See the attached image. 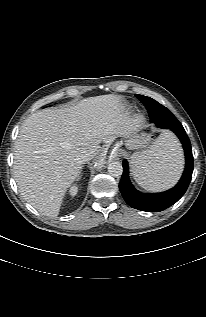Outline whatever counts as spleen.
<instances>
[{
  "label": "spleen",
  "mask_w": 206,
  "mask_h": 317,
  "mask_svg": "<svg viewBox=\"0 0 206 317\" xmlns=\"http://www.w3.org/2000/svg\"><path fill=\"white\" fill-rule=\"evenodd\" d=\"M183 168V153L176 137L165 132L142 152L131 157L135 181L149 191H161L173 186Z\"/></svg>",
  "instance_id": "spleen-1"
}]
</instances>
